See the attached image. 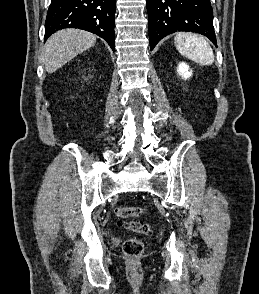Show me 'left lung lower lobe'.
<instances>
[{
  "label": "left lung lower lobe",
  "instance_id": "obj_1",
  "mask_svg": "<svg viewBox=\"0 0 259 294\" xmlns=\"http://www.w3.org/2000/svg\"><path fill=\"white\" fill-rule=\"evenodd\" d=\"M150 47L177 31L208 37L216 45L210 0H146Z\"/></svg>",
  "mask_w": 259,
  "mask_h": 294
}]
</instances>
